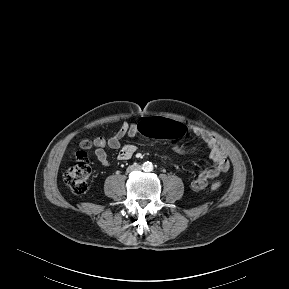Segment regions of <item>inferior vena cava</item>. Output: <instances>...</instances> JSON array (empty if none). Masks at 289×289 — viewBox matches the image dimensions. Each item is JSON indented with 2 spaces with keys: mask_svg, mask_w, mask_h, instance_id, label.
<instances>
[{
  "mask_svg": "<svg viewBox=\"0 0 289 289\" xmlns=\"http://www.w3.org/2000/svg\"><path fill=\"white\" fill-rule=\"evenodd\" d=\"M141 170V166L138 164H133L127 168V172L139 171Z\"/></svg>",
  "mask_w": 289,
  "mask_h": 289,
  "instance_id": "obj_1",
  "label": "inferior vena cava"
}]
</instances>
